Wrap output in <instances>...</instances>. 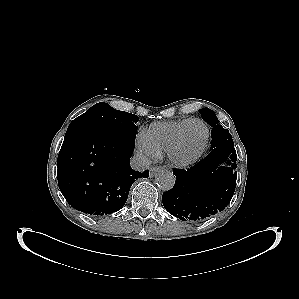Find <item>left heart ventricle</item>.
Here are the masks:
<instances>
[{
  "label": "left heart ventricle",
  "instance_id": "left-heart-ventricle-1",
  "mask_svg": "<svg viewBox=\"0 0 299 299\" xmlns=\"http://www.w3.org/2000/svg\"><path fill=\"white\" fill-rule=\"evenodd\" d=\"M205 133V127L201 123H191L183 134L176 156L186 159L193 155L203 144Z\"/></svg>",
  "mask_w": 299,
  "mask_h": 299
}]
</instances>
